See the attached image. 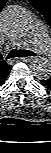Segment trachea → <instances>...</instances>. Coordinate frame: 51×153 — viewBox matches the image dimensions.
Masks as SVG:
<instances>
[{
  "label": "trachea",
  "instance_id": "obj_1",
  "mask_svg": "<svg viewBox=\"0 0 51 153\" xmlns=\"http://www.w3.org/2000/svg\"><path fill=\"white\" fill-rule=\"evenodd\" d=\"M31 56H37V54L30 50L13 49L6 56V59H11L16 57H31Z\"/></svg>",
  "mask_w": 51,
  "mask_h": 153
}]
</instances>
